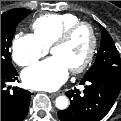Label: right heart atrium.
I'll use <instances>...</instances> for the list:
<instances>
[{
	"label": "right heart atrium",
	"mask_w": 121,
	"mask_h": 121,
	"mask_svg": "<svg viewBox=\"0 0 121 121\" xmlns=\"http://www.w3.org/2000/svg\"><path fill=\"white\" fill-rule=\"evenodd\" d=\"M47 51L48 48L31 33H18L14 36L11 43L12 58L22 67L35 63Z\"/></svg>",
	"instance_id": "right-heart-atrium-1"
}]
</instances>
